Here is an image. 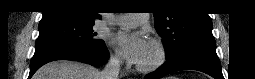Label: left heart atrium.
<instances>
[{
	"label": "left heart atrium",
	"mask_w": 255,
	"mask_h": 79,
	"mask_svg": "<svg viewBox=\"0 0 255 79\" xmlns=\"http://www.w3.org/2000/svg\"><path fill=\"white\" fill-rule=\"evenodd\" d=\"M115 42L125 58L131 63H140L148 49V42L141 33L119 32Z\"/></svg>",
	"instance_id": "obj_1"
}]
</instances>
